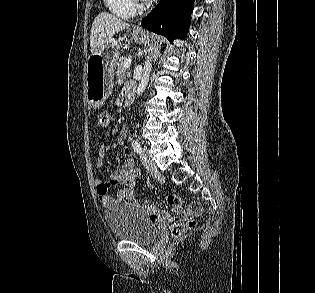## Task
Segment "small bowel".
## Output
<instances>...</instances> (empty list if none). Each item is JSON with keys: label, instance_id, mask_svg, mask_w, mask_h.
<instances>
[{"label": "small bowel", "instance_id": "obj_1", "mask_svg": "<svg viewBox=\"0 0 315 293\" xmlns=\"http://www.w3.org/2000/svg\"><path fill=\"white\" fill-rule=\"evenodd\" d=\"M134 91V85L132 83H128L125 86V94L128 92ZM112 120L109 117L108 125L104 128L105 136H109L111 131ZM128 134L127 127H123L118 135V144L122 146ZM106 144H101L98 149V157L96 159L95 165L97 167L102 166L104 162V157L106 154ZM140 172L135 167L134 161L130 158H127L123 161L122 167L119 171L115 172L111 179L108 182H104L101 179L94 180V186L96 189L97 196L100 202L106 206H112L122 201H127L130 203H134L133 191L135 187L136 179L139 177ZM120 185L121 188L117 190L114 195L109 193V189L113 186ZM150 219L163 221L166 220V213L164 211H154L151 209ZM171 215H178V208H171Z\"/></svg>", "mask_w": 315, "mask_h": 293}]
</instances>
